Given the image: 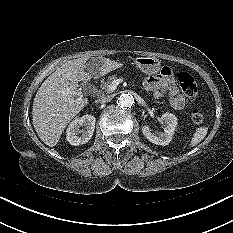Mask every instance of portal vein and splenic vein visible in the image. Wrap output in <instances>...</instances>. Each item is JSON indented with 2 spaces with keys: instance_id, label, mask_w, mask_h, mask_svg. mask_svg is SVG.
Instances as JSON below:
<instances>
[{
  "instance_id": "18ae733b",
  "label": "portal vein and splenic vein",
  "mask_w": 233,
  "mask_h": 233,
  "mask_svg": "<svg viewBox=\"0 0 233 233\" xmlns=\"http://www.w3.org/2000/svg\"><path fill=\"white\" fill-rule=\"evenodd\" d=\"M119 82H120L119 79L114 80V81L112 82V84L110 85V90H111V91L115 90L116 87L118 86ZM78 95L80 96L79 99H81L82 96L80 95V93H79Z\"/></svg>"
}]
</instances>
